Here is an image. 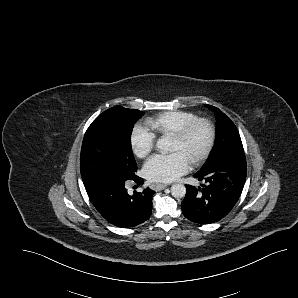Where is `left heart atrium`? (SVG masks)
Returning a JSON list of instances; mask_svg holds the SVG:
<instances>
[{
    "instance_id": "39dd6f15",
    "label": "left heart atrium",
    "mask_w": 298,
    "mask_h": 298,
    "mask_svg": "<svg viewBox=\"0 0 298 298\" xmlns=\"http://www.w3.org/2000/svg\"><path fill=\"white\" fill-rule=\"evenodd\" d=\"M187 170V162L178 152L153 155L144 165L143 173L154 182H170Z\"/></svg>"
}]
</instances>
